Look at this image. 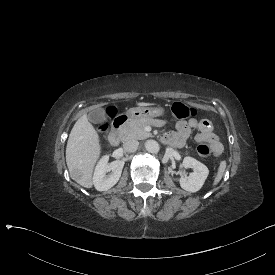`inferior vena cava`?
Instances as JSON below:
<instances>
[{
	"label": "inferior vena cava",
	"instance_id": "1",
	"mask_svg": "<svg viewBox=\"0 0 275 275\" xmlns=\"http://www.w3.org/2000/svg\"><path fill=\"white\" fill-rule=\"evenodd\" d=\"M139 146V142L137 140H128L123 144V149L126 152H135Z\"/></svg>",
	"mask_w": 275,
	"mask_h": 275
}]
</instances>
